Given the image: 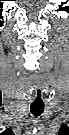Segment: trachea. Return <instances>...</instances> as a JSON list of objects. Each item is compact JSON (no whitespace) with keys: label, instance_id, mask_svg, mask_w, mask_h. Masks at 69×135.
I'll return each mask as SVG.
<instances>
[{"label":"trachea","instance_id":"3493384b","mask_svg":"<svg viewBox=\"0 0 69 135\" xmlns=\"http://www.w3.org/2000/svg\"><path fill=\"white\" fill-rule=\"evenodd\" d=\"M44 111V103H32L31 104V112L34 116H40Z\"/></svg>","mask_w":69,"mask_h":135}]
</instances>
